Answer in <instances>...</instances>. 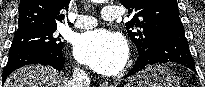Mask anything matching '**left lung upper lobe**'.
<instances>
[{"instance_id":"5c2ea615","label":"left lung upper lobe","mask_w":205,"mask_h":87,"mask_svg":"<svg viewBox=\"0 0 205 87\" xmlns=\"http://www.w3.org/2000/svg\"><path fill=\"white\" fill-rule=\"evenodd\" d=\"M122 4L133 14L126 26L139 56L150 53L166 31L183 27L176 0H122Z\"/></svg>"}]
</instances>
